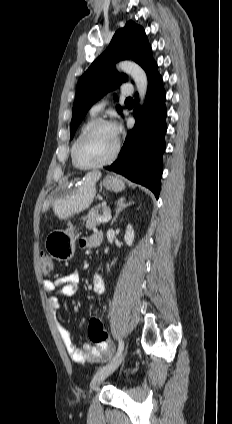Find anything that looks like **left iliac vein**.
Here are the masks:
<instances>
[{
  "label": "left iliac vein",
  "mask_w": 232,
  "mask_h": 424,
  "mask_svg": "<svg viewBox=\"0 0 232 424\" xmlns=\"http://www.w3.org/2000/svg\"><path fill=\"white\" fill-rule=\"evenodd\" d=\"M124 357V353L119 357L108 363L107 365L100 368L96 374L94 375L91 388L95 389L98 385H100L108 376H110L121 364Z\"/></svg>",
  "instance_id": "left-iliac-vein-1"
}]
</instances>
